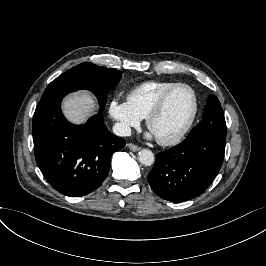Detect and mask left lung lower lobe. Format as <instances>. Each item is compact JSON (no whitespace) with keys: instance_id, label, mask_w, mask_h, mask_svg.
Returning a JSON list of instances; mask_svg holds the SVG:
<instances>
[{"instance_id":"0a47b994","label":"left lung lower lobe","mask_w":266,"mask_h":266,"mask_svg":"<svg viewBox=\"0 0 266 266\" xmlns=\"http://www.w3.org/2000/svg\"><path fill=\"white\" fill-rule=\"evenodd\" d=\"M226 135L200 132L160 152L148 182L161 198L183 202L201 195L217 176L224 159Z\"/></svg>"}]
</instances>
